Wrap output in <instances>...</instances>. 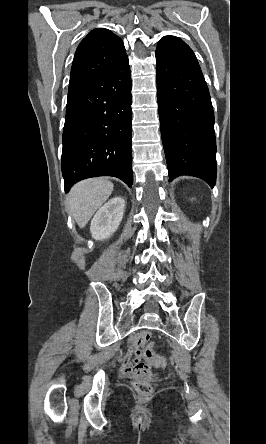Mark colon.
I'll list each match as a JSON object with an SVG mask.
<instances>
[{"instance_id":"obj_1","label":"colon","mask_w":266,"mask_h":444,"mask_svg":"<svg viewBox=\"0 0 266 444\" xmlns=\"http://www.w3.org/2000/svg\"><path fill=\"white\" fill-rule=\"evenodd\" d=\"M146 363L153 367H164L166 366V359L163 356L157 355L155 352V347L153 342H147L141 351ZM134 387L136 391L143 396H147L152 392V386L148 380L137 379L134 382Z\"/></svg>"}]
</instances>
